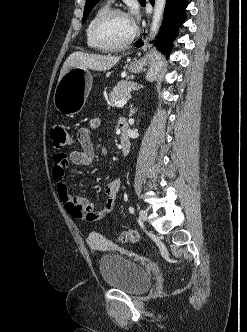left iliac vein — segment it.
<instances>
[{"label":"left iliac vein","mask_w":247,"mask_h":332,"mask_svg":"<svg viewBox=\"0 0 247 332\" xmlns=\"http://www.w3.org/2000/svg\"><path fill=\"white\" fill-rule=\"evenodd\" d=\"M147 216H148L147 211L145 210L139 211V218L142 222H145L147 220Z\"/></svg>","instance_id":"obj_1"}]
</instances>
